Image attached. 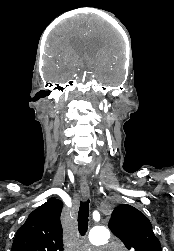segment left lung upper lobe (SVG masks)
Wrapping results in <instances>:
<instances>
[{
    "instance_id": "left-lung-upper-lobe-1",
    "label": "left lung upper lobe",
    "mask_w": 174,
    "mask_h": 251,
    "mask_svg": "<svg viewBox=\"0 0 174 251\" xmlns=\"http://www.w3.org/2000/svg\"><path fill=\"white\" fill-rule=\"evenodd\" d=\"M131 251H162L150 221L136 208L122 204L116 207L108 224Z\"/></svg>"
}]
</instances>
